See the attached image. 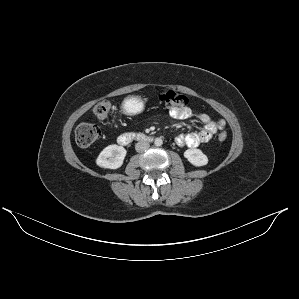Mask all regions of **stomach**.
Returning <instances> with one entry per match:
<instances>
[{
    "mask_svg": "<svg viewBox=\"0 0 299 299\" xmlns=\"http://www.w3.org/2000/svg\"><path fill=\"white\" fill-rule=\"evenodd\" d=\"M122 109L126 114L135 115L143 111L144 102L138 95H129L124 99Z\"/></svg>",
    "mask_w": 299,
    "mask_h": 299,
    "instance_id": "1",
    "label": "stomach"
}]
</instances>
